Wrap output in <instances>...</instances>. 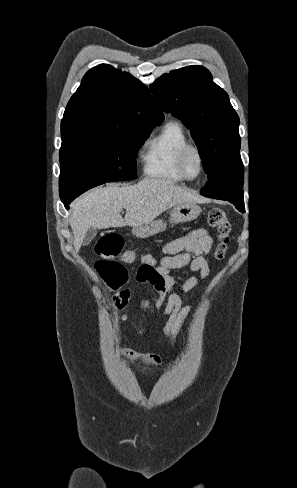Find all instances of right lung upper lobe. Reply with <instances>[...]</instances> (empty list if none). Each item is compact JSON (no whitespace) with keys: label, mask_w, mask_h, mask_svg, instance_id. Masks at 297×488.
<instances>
[{"label":"right lung upper lobe","mask_w":297,"mask_h":488,"mask_svg":"<svg viewBox=\"0 0 297 488\" xmlns=\"http://www.w3.org/2000/svg\"><path fill=\"white\" fill-rule=\"evenodd\" d=\"M163 120L144 84L127 72L101 64L85 74L69 100L61 121V138L119 134Z\"/></svg>","instance_id":"cb5924a9"}]
</instances>
